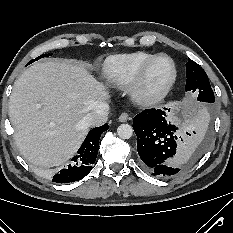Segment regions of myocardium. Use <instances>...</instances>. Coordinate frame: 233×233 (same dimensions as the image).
<instances>
[{
  "label": "myocardium",
  "mask_w": 233,
  "mask_h": 233,
  "mask_svg": "<svg viewBox=\"0 0 233 233\" xmlns=\"http://www.w3.org/2000/svg\"><path fill=\"white\" fill-rule=\"evenodd\" d=\"M160 59H167L170 62L172 68L171 75L161 87L153 91H147L145 89V83L148 72L153 67V65ZM176 78L177 67L174 60L166 54H159L154 56L152 59L148 60L141 66V68L129 84L128 92L131 99L135 103L142 106H151L159 103L167 96V94L172 89L176 81Z\"/></svg>",
  "instance_id": "f54148a6"
}]
</instances>
